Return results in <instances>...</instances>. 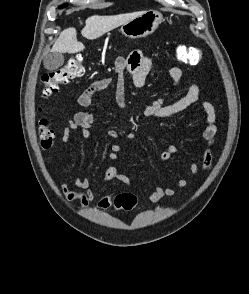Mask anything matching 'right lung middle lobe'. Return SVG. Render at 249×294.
I'll return each mask as SVG.
<instances>
[{"label": "right lung middle lobe", "mask_w": 249, "mask_h": 294, "mask_svg": "<svg viewBox=\"0 0 249 294\" xmlns=\"http://www.w3.org/2000/svg\"><path fill=\"white\" fill-rule=\"evenodd\" d=\"M67 5H61L59 8H63V7H66Z\"/></svg>", "instance_id": "1"}]
</instances>
